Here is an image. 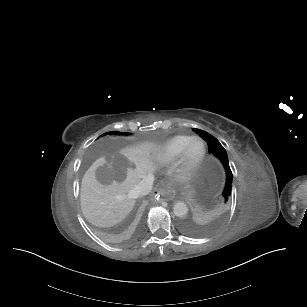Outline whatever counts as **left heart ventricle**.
Returning a JSON list of instances; mask_svg holds the SVG:
<instances>
[{"mask_svg": "<svg viewBox=\"0 0 307 307\" xmlns=\"http://www.w3.org/2000/svg\"><path fill=\"white\" fill-rule=\"evenodd\" d=\"M202 151H203V146L201 143L199 142H196L194 143L191 148H190V151H189V157L191 160H195L197 159L201 154H202Z\"/></svg>", "mask_w": 307, "mask_h": 307, "instance_id": "obj_1", "label": "left heart ventricle"}]
</instances>
